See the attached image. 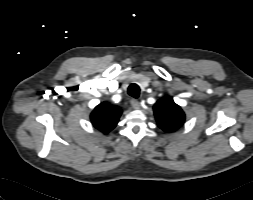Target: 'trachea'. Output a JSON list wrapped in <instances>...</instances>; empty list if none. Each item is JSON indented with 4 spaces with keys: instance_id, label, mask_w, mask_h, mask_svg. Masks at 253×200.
Instances as JSON below:
<instances>
[{
    "instance_id": "1",
    "label": "trachea",
    "mask_w": 253,
    "mask_h": 200,
    "mask_svg": "<svg viewBox=\"0 0 253 200\" xmlns=\"http://www.w3.org/2000/svg\"><path fill=\"white\" fill-rule=\"evenodd\" d=\"M128 94L133 98H138L140 95V88L137 84H131L128 87Z\"/></svg>"
}]
</instances>
